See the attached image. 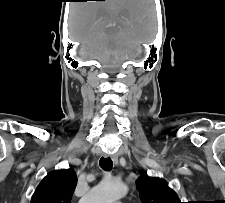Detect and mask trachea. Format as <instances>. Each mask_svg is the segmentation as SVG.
Here are the masks:
<instances>
[{"instance_id":"obj_1","label":"trachea","mask_w":225,"mask_h":203,"mask_svg":"<svg viewBox=\"0 0 225 203\" xmlns=\"http://www.w3.org/2000/svg\"><path fill=\"white\" fill-rule=\"evenodd\" d=\"M99 165L105 171H110L113 167V162H112L111 158H109V157L108 158L102 157L99 161Z\"/></svg>"}]
</instances>
